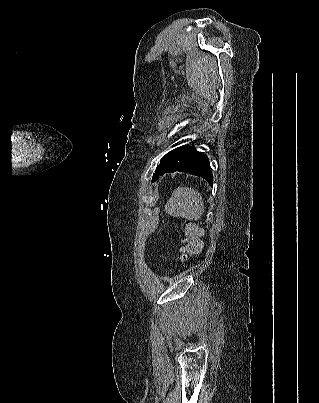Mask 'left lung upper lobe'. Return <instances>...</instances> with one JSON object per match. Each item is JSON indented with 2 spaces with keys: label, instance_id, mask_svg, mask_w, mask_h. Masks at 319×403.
<instances>
[{
  "label": "left lung upper lobe",
  "instance_id": "5c2ea615",
  "mask_svg": "<svg viewBox=\"0 0 319 403\" xmlns=\"http://www.w3.org/2000/svg\"><path fill=\"white\" fill-rule=\"evenodd\" d=\"M178 148L171 150L170 152H168L165 156H163V158L160 161V164L158 165V167L155 170V174L153 175V181L157 180L159 178L160 175H162L164 173V170L166 169V167L168 166L169 162L171 161L173 155L175 154V152L177 151Z\"/></svg>",
  "mask_w": 319,
  "mask_h": 403
}]
</instances>
